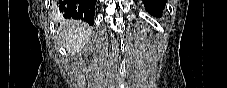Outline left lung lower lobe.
<instances>
[{"instance_id":"1","label":"left lung lower lobe","mask_w":227,"mask_h":88,"mask_svg":"<svg viewBox=\"0 0 227 88\" xmlns=\"http://www.w3.org/2000/svg\"><path fill=\"white\" fill-rule=\"evenodd\" d=\"M146 11L153 16L160 18L162 16V10L165 7L166 0H142Z\"/></svg>"}]
</instances>
